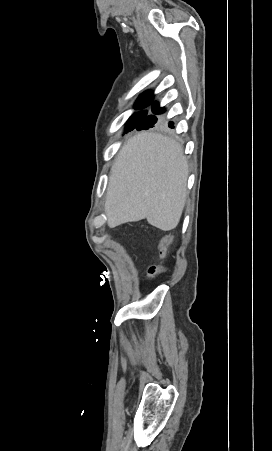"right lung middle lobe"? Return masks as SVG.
I'll return each mask as SVG.
<instances>
[{"mask_svg": "<svg viewBox=\"0 0 272 451\" xmlns=\"http://www.w3.org/2000/svg\"><path fill=\"white\" fill-rule=\"evenodd\" d=\"M151 102V98L149 99H138L136 102V107L135 109H143L145 107H147ZM147 115L146 111L140 112L134 116H132L129 120V123L127 125V127L129 128L130 126L140 122L142 119H144Z\"/></svg>", "mask_w": 272, "mask_h": 451, "instance_id": "dd1d6c3e", "label": "right lung middle lobe"}]
</instances>
